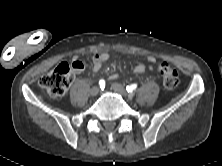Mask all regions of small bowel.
I'll use <instances>...</instances> for the list:
<instances>
[{
  "instance_id": "obj_1",
  "label": "small bowel",
  "mask_w": 222,
  "mask_h": 166,
  "mask_svg": "<svg viewBox=\"0 0 222 166\" xmlns=\"http://www.w3.org/2000/svg\"><path fill=\"white\" fill-rule=\"evenodd\" d=\"M110 58L108 53L105 52H101V53H96L93 55L92 57V68L94 72H98L101 70L103 64L108 61ZM148 62L150 63V65H145V64H138L137 66H135L134 68V72L137 74H143L145 72H147L148 70L152 69V64L155 62V58L153 56H149L148 57ZM72 64H80L82 67L80 69H77L76 71L79 73L82 71L83 69V63L79 60L78 57H74L73 58V62ZM118 77V74H112L111 75V79H116Z\"/></svg>"
}]
</instances>
